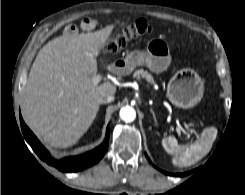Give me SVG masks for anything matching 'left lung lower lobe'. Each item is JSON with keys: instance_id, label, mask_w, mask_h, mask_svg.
<instances>
[{"instance_id": "left-lung-lower-lobe-1", "label": "left lung lower lobe", "mask_w": 245, "mask_h": 195, "mask_svg": "<svg viewBox=\"0 0 245 195\" xmlns=\"http://www.w3.org/2000/svg\"><path fill=\"white\" fill-rule=\"evenodd\" d=\"M147 159L149 160L148 156H146ZM150 161V160H149ZM190 172H186V173H177V174H170V175H173V176H177V177H183V176H186L188 175Z\"/></svg>"}]
</instances>
